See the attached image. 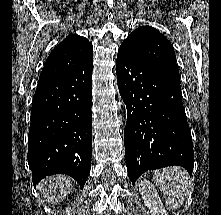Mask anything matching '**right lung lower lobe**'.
Segmentation results:
<instances>
[{"label":"right lung lower lobe","instance_id":"1","mask_svg":"<svg viewBox=\"0 0 221 215\" xmlns=\"http://www.w3.org/2000/svg\"><path fill=\"white\" fill-rule=\"evenodd\" d=\"M92 59L79 69L38 84L28 135V164L35 184L53 174L84 186L92 154Z\"/></svg>","mask_w":221,"mask_h":215}]
</instances>
